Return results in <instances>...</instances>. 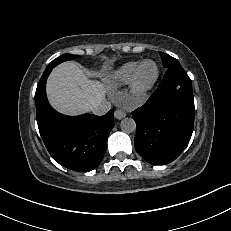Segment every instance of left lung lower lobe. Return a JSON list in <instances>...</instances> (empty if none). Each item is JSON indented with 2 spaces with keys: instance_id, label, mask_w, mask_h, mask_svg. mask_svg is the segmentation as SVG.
I'll list each match as a JSON object with an SVG mask.
<instances>
[{
  "instance_id": "obj_1",
  "label": "left lung lower lobe",
  "mask_w": 231,
  "mask_h": 231,
  "mask_svg": "<svg viewBox=\"0 0 231 231\" xmlns=\"http://www.w3.org/2000/svg\"><path fill=\"white\" fill-rule=\"evenodd\" d=\"M192 83L181 65L167 68L160 87L132 112L137 124L134 145L152 165L174 161L187 146L194 126Z\"/></svg>"
}]
</instances>
